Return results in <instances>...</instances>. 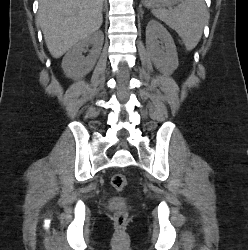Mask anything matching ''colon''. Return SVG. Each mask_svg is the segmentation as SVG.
<instances>
[{
  "instance_id": "obj_1",
  "label": "colon",
  "mask_w": 248,
  "mask_h": 250,
  "mask_svg": "<svg viewBox=\"0 0 248 250\" xmlns=\"http://www.w3.org/2000/svg\"><path fill=\"white\" fill-rule=\"evenodd\" d=\"M111 185L117 191H122L127 185V178L124 174L117 173L111 178ZM127 214L124 211H120L115 215V221L121 225L126 221Z\"/></svg>"
}]
</instances>
